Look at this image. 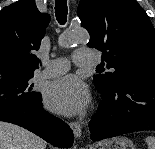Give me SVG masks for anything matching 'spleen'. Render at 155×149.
Listing matches in <instances>:
<instances>
[{"mask_svg": "<svg viewBox=\"0 0 155 149\" xmlns=\"http://www.w3.org/2000/svg\"><path fill=\"white\" fill-rule=\"evenodd\" d=\"M145 141L148 145V149H155V137L154 136L146 137Z\"/></svg>", "mask_w": 155, "mask_h": 149, "instance_id": "3e777b00", "label": "spleen"}]
</instances>
